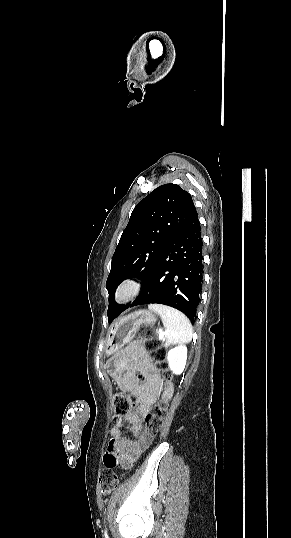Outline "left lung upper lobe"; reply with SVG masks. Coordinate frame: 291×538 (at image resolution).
Listing matches in <instances>:
<instances>
[{
    "label": "left lung upper lobe",
    "instance_id": "1",
    "mask_svg": "<svg viewBox=\"0 0 291 538\" xmlns=\"http://www.w3.org/2000/svg\"><path fill=\"white\" fill-rule=\"evenodd\" d=\"M196 214L191 195L177 184L159 186L136 205L115 249L106 281L109 322L125 307L115 302L117 286L130 277L142 279L144 285L171 241Z\"/></svg>",
    "mask_w": 291,
    "mask_h": 538
}]
</instances>
